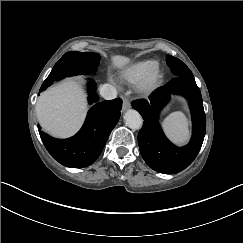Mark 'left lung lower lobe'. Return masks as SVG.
I'll use <instances>...</instances> for the list:
<instances>
[{
  "label": "left lung lower lobe",
  "mask_w": 243,
  "mask_h": 243,
  "mask_svg": "<svg viewBox=\"0 0 243 243\" xmlns=\"http://www.w3.org/2000/svg\"><path fill=\"white\" fill-rule=\"evenodd\" d=\"M171 94L184 96L192 113V138L184 147L173 145L165 137L158 122L159 112ZM132 107L144 119L143 128L138 134V144L141 155L150 168L163 174H174L193 162L200 151L206 132L201 92L194 78L177 76L165 86L156 89L149 96V100L133 101Z\"/></svg>",
  "instance_id": "left-lung-lower-lobe-1"
}]
</instances>
